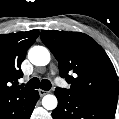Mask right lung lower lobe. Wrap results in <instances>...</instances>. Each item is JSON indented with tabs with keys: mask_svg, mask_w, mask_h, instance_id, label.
I'll list each match as a JSON object with an SVG mask.
<instances>
[{
	"mask_svg": "<svg viewBox=\"0 0 119 119\" xmlns=\"http://www.w3.org/2000/svg\"><path fill=\"white\" fill-rule=\"evenodd\" d=\"M39 93L36 90L0 101V119H29Z\"/></svg>",
	"mask_w": 119,
	"mask_h": 119,
	"instance_id": "right-lung-lower-lobe-1",
	"label": "right lung lower lobe"
}]
</instances>
